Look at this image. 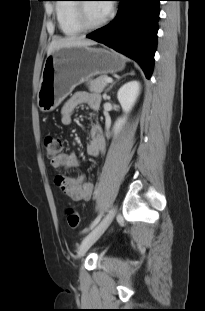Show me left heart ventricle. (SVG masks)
<instances>
[{"mask_svg": "<svg viewBox=\"0 0 205 311\" xmlns=\"http://www.w3.org/2000/svg\"><path fill=\"white\" fill-rule=\"evenodd\" d=\"M107 13L99 2L85 3V16L90 24H96L106 17Z\"/></svg>", "mask_w": 205, "mask_h": 311, "instance_id": "left-heart-ventricle-1", "label": "left heart ventricle"}]
</instances>
